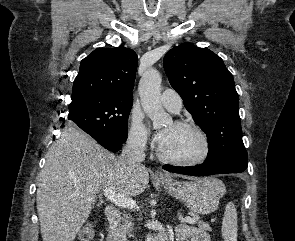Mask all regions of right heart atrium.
I'll return each instance as SVG.
<instances>
[{
    "instance_id": "d8ad5b80",
    "label": "right heart atrium",
    "mask_w": 295,
    "mask_h": 241,
    "mask_svg": "<svg viewBox=\"0 0 295 241\" xmlns=\"http://www.w3.org/2000/svg\"><path fill=\"white\" fill-rule=\"evenodd\" d=\"M128 142L135 149L144 151L149 146V137L142 117L133 113L130 117Z\"/></svg>"
}]
</instances>
